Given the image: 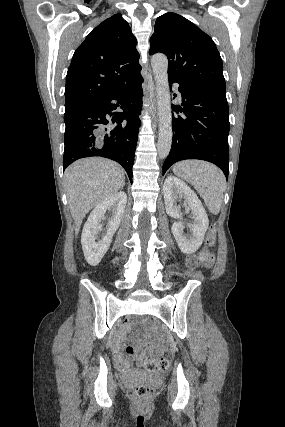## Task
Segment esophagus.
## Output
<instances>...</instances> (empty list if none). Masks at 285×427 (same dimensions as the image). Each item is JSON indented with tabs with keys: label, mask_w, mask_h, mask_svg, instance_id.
<instances>
[{
	"label": "esophagus",
	"mask_w": 285,
	"mask_h": 427,
	"mask_svg": "<svg viewBox=\"0 0 285 427\" xmlns=\"http://www.w3.org/2000/svg\"><path fill=\"white\" fill-rule=\"evenodd\" d=\"M151 102H152V105H155V104H156V100H155V99H154V100H152Z\"/></svg>",
	"instance_id": "esophagus-1"
}]
</instances>
